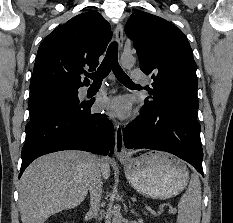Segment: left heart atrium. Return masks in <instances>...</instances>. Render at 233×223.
Here are the masks:
<instances>
[{
    "label": "left heart atrium",
    "mask_w": 233,
    "mask_h": 223,
    "mask_svg": "<svg viewBox=\"0 0 233 223\" xmlns=\"http://www.w3.org/2000/svg\"><path fill=\"white\" fill-rule=\"evenodd\" d=\"M100 111L112 118L127 119L132 113L129 99L125 96H116L111 99H103L100 102Z\"/></svg>",
    "instance_id": "1"
}]
</instances>
